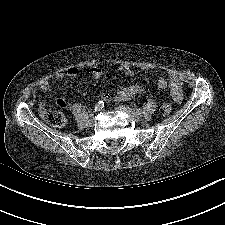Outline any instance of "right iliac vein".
I'll return each instance as SVG.
<instances>
[{"instance_id": "1", "label": "right iliac vein", "mask_w": 225, "mask_h": 225, "mask_svg": "<svg viewBox=\"0 0 225 225\" xmlns=\"http://www.w3.org/2000/svg\"><path fill=\"white\" fill-rule=\"evenodd\" d=\"M94 123H95V118H94V117H91V118L88 120L87 125H88L89 127H92V126L94 125Z\"/></svg>"}]
</instances>
